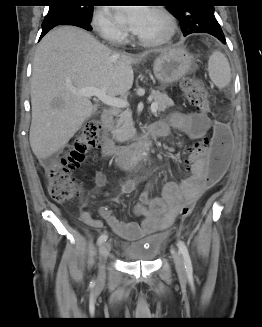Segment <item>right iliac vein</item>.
<instances>
[{
    "instance_id": "obj_1",
    "label": "right iliac vein",
    "mask_w": 262,
    "mask_h": 327,
    "mask_svg": "<svg viewBox=\"0 0 262 327\" xmlns=\"http://www.w3.org/2000/svg\"><path fill=\"white\" fill-rule=\"evenodd\" d=\"M99 250H100L101 260L104 261L111 250L110 243H108V242L102 243ZM104 281H105L104 265H103V263H101L97 283L99 285H101L104 283Z\"/></svg>"
}]
</instances>
